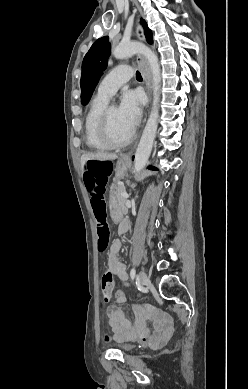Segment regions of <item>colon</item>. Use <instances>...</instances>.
Segmentation results:
<instances>
[{
  "label": "colon",
  "instance_id": "1",
  "mask_svg": "<svg viewBox=\"0 0 248 389\" xmlns=\"http://www.w3.org/2000/svg\"><path fill=\"white\" fill-rule=\"evenodd\" d=\"M86 185L88 186V194L92 210L97 220L98 233V251L103 253L106 251L110 240V227L106 221V206L104 200V192L106 184L110 181V172L113 170L112 161L107 158H102L98 161L96 157H87L85 159ZM126 284V289L131 291L134 287L128 277L123 279ZM114 279L110 269H105L101 275V293L104 301H108L114 288ZM114 299L126 298L127 292L122 288H117L113 293Z\"/></svg>",
  "mask_w": 248,
  "mask_h": 389
}]
</instances>
